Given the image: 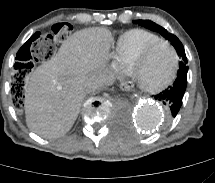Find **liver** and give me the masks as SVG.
<instances>
[{
    "instance_id": "6515ba94",
    "label": "liver",
    "mask_w": 215,
    "mask_h": 183,
    "mask_svg": "<svg viewBox=\"0 0 215 183\" xmlns=\"http://www.w3.org/2000/svg\"><path fill=\"white\" fill-rule=\"evenodd\" d=\"M111 41L105 28L77 31L27 78L24 108L32 132L56 138L72 128L87 93L84 84L106 74Z\"/></svg>"
}]
</instances>
